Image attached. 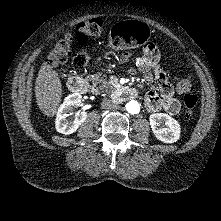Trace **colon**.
Wrapping results in <instances>:
<instances>
[{"label": "colon", "instance_id": "colon-1", "mask_svg": "<svg viewBox=\"0 0 221 221\" xmlns=\"http://www.w3.org/2000/svg\"><path fill=\"white\" fill-rule=\"evenodd\" d=\"M103 28V22L100 18H91L84 22L79 23L75 30L76 40L84 44L89 38H97L100 36ZM74 38L72 35H66L62 40H60L53 50L49 53L46 61L51 66L55 67L59 64H65L71 62L74 66L83 65L88 59L89 56L86 52H82L76 56H72V42ZM149 55L152 59L156 58L158 55V50L150 51ZM177 90L179 93L184 95V107L185 115L187 118H192L195 114L198 98L194 94L192 84L186 80L182 79L177 82Z\"/></svg>", "mask_w": 221, "mask_h": 221}]
</instances>
